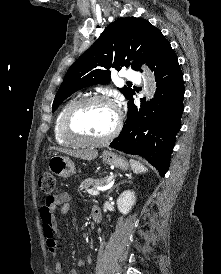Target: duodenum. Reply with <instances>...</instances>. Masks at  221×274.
<instances>
[{"mask_svg": "<svg viewBox=\"0 0 221 274\" xmlns=\"http://www.w3.org/2000/svg\"><path fill=\"white\" fill-rule=\"evenodd\" d=\"M92 217H93V220L96 224L101 222V220H102V211H101L100 207L94 206L92 208Z\"/></svg>", "mask_w": 221, "mask_h": 274, "instance_id": "duodenum-1", "label": "duodenum"}]
</instances>
